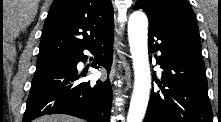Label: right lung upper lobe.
I'll list each match as a JSON object with an SVG mask.
<instances>
[{
  "mask_svg": "<svg viewBox=\"0 0 221 122\" xmlns=\"http://www.w3.org/2000/svg\"><path fill=\"white\" fill-rule=\"evenodd\" d=\"M111 0H54L37 60L72 57L112 32Z\"/></svg>",
  "mask_w": 221,
  "mask_h": 122,
  "instance_id": "cb5924a9",
  "label": "right lung upper lobe"
}]
</instances>
